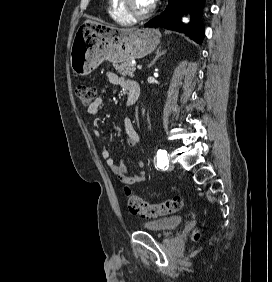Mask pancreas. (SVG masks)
Wrapping results in <instances>:
<instances>
[{
    "mask_svg": "<svg viewBox=\"0 0 272 282\" xmlns=\"http://www.w3.org/2000/svg\"><path fill=\"white\" fill-rule=\"evenodd\" d=\"M114 68L118 71L120 75L129 77H133L134 72L136 71L135 65L131 64V62L115 64Z\"/></svg>",
    "mask_w": 272,
    "mask_h": 282,
    "instance_id": "1",
    "label": "pancreas"
}]
</instances>
